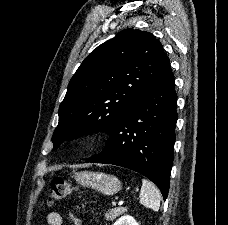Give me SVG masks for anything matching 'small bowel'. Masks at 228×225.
I'll list each match as a JSON object with an SVG mask.
<instances>
[{"label":"small bowel","instance_id":"1","mask_svg":"<svg viewBox=\"0 0 228 225\" xmlns=\"http://www.w3.org/2000/svg\"><path fill=\"white\" fill-rule=\"evenodd\" d=\"M69 220L72 225H82L81 220L74 214H69ZM46 221L48 225H63V218L60 213L56 211L49 212L46 216Z\"/></svg>","mask_w":228,"mask_h":225}]
</instances>
